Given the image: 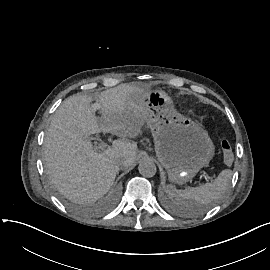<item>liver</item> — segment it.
Masks as SVG:
<instances>
[{"label": "liver", "instance_id": "obj_1", "mask_svg": "<svg viewBox=\"0 0 270 270\" xmlns=\"http://www.w3.org/2000/svg\"><path fill=\"white\" fill-rule=\"evenodd\" d=\"M143 94L144 89L124 83L101 92L94 104L91 96L80 94L63 101L47 130L43 153L51 183L66 198L95 202L110 190L119 167L134 163L137 143L124 138L141 132L149 113ZM96 109H101L100 120ZM104 127L122 139L97 153L89 136L106 132Z\"/></svg>", "mask_w": 270, "mask_h": 270}]
</instances>
